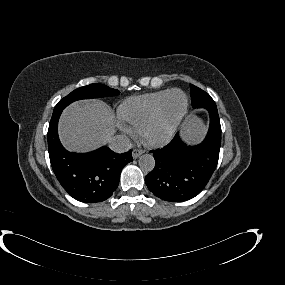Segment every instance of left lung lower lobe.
<instances>
[{
  "label": "left lung lower lobe",
  "mask_w": 285,
  "mask_h": 285,
  "mask_svg": "<svg viewBox=\"0 0 285 285\" xmlns=\"http://www.w3.org/2000/svg\"><path fill=\"white\" fill-rule=\"evenodd\" d=\"M208 110L210 127L205 140L187 146L177 134L164 148L153 151L155 168L145 177L149 190L158 198L182 202L197 196L208 183L219 158L221 125L215 103Z\"/></svg>",
  "instance_id": "1"
}]
</instances>
